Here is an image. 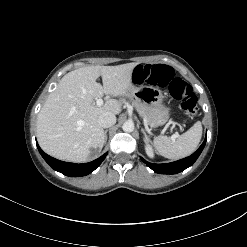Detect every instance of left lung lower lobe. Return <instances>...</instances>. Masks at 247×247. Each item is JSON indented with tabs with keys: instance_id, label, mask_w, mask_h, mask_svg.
Returning <instances> with one entry per match:
<instances>
[{
	"instance_id": "1",
	"label": "left lung lower lobe",
	"mask_w": 247,
	"mask_h": 247,
	"mask_svg": "<svg viewBox=\"0 0 247 247\" xmlns=\"http://www.w3.org/2000/svg\"><path fill=\"white\" fill-rule=\"evenodd\" d=\"M205 144H206V138L204 142L202 143V145L199 147V149L196 152H194L192 155H190L189 157L183 158L181 160L171 162V163L154 164V163L147 162L143 158L141 159L148 167H150L156 173L176 174V173L182 172L186 168L193 165V163L197 160V158L201 154Z\"/></svg>"
}]
</instances>
